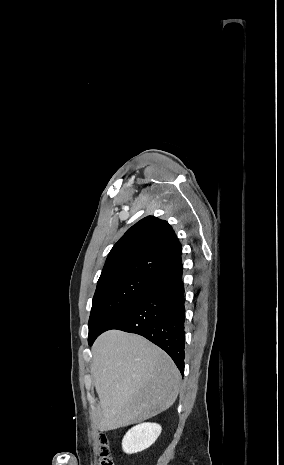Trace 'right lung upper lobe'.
Segmentation results:
<instances>
[{
  "mask_svg": "<svg viewBox=\"0 0 284 465\" xmlns=\"http://www.w3.org/2000/svg\"><path fill=\"white\" fill-rule=\"evenodd\" d=\"M180 263L181 244L172 227L147 216L113 246L98 281L123 275L155 279Z\"/></svg>",
  "mask_w": 284,
  "mask_h": 465,
  "instance_id": "1",
  "label": "right lung upper lobe"
}]
</instances>
